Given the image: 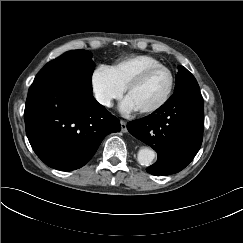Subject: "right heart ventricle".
Returning a JSON list of instances; mask_svg holds the SVG:
<instances>
[{"mask_svg":"<svg viewBox=\"0 0 243 243\" xmlns=\"http://www.w3.org/2000/svg\"><path fill=\"white\" fill-rule=\"evenodd\" d=\"M158 64L160 62L151 56L137 55L120 59L109 68L117 85L124 90L139 72Z\"/></svg>","mask_w":243,"mask_h":243,"instance_id":"1","label":"right heart ventricle"}]
</instances>
